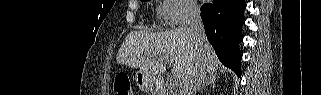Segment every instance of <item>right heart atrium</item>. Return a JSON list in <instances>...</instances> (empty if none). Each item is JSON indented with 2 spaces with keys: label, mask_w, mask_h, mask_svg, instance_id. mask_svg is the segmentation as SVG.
Returning <instances> with one entry per match:
<instances>
[{
  "label": "right heart atrium",
  "mask_w": 321,
  "mask_h": 95,
  "mask_svg": "<svg viewBox=\"0 0 321 95\" xmlns=\"http://www.w3.org/2000/svg\"><path fill=\"white\" fill-rule=\"evenodd\" d=\"M198 9L191 0H164L158 6L160 18L169 25H183L192 21Z\"/></svg>",
  "instance_id": "right-heart-atrium-1"
}]
</instances>
